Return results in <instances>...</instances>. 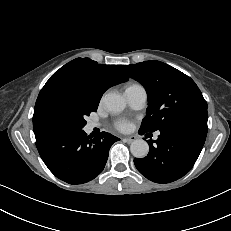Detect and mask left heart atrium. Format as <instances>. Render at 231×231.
<instances>
[{
    "mask_svg": "<svg viewBox=\"0 0 231 231\" xmlns=\"http://www.w3.org/2000/svg\"><path fill=\"white\" fill-rule=\"evenodd\" d=\"M114 126L120 131H126L131 127V123L127 119H118Z\"/></svg>",
    "mask_w": 231,
    "mask_h": 231,
    "instance_id": "39dd6f15",
    "label": "left heart atrium"
}]
</instances>
